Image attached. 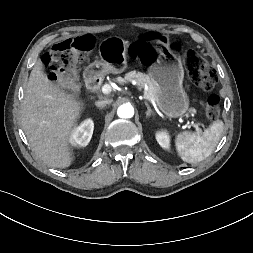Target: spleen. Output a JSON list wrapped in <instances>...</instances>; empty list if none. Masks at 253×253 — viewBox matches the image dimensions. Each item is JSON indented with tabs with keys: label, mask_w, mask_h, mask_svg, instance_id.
I'll list each match as a JSON object with an SVG mask.
<instances>
[{
	"label": "spleen",
	"mask_w": 253,
	"mask_h": 253,
	"mask_svg": "<svg viewBox=\"0 0 253 253\" xmlns=\"http://www.w3.org/2000/svg\"><path fill=\"white\" fill-rule=\"evenodd\" d=\"M223 122L218 120L203 133L182 132L175 140L179 157L187 163L196 164L203 161L215 150L222 132Z\"/></svg>",
	"instance_id": "3e777b00"
}]
</instances>
